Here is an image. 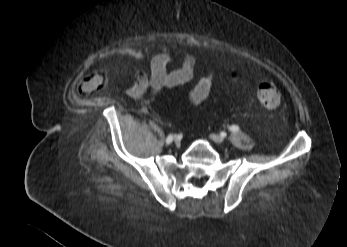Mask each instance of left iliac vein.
<instances>
[{
    "label": "left iliac vein",
    "instance_id": "obj_1",
    "mask_svg": "<svg viewBox=\"0 0 347 247\" xmlns=\"http://www.w3.org/2000/svg\"><path fill=\"white\" fill-rule=\"evenodd\" d=\"M210 138L216 142V143H223L224 142V138L218 134H210Z\"/></svg>",
    "mask_w": 347,
    "mask_h": 247
}]
</instances>
